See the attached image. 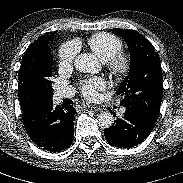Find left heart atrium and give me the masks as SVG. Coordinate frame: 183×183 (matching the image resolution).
Wrapping results in <instances>:
<instances>
[{
	"label": "left heart atrium",
	"mask_w": 183,
	"mask_h": 183,
	"mask_svg": "<svg viewBox=\"0 0 183 183\" xmlns=\"http://www.w3.org/2000/svg\"><path fill=\"white\" fill-rule=\"evenodd\" d=\"M104 88L105 82L102 78L99 77L85 79L80 83L81 93L88 100L95 99L97 97L98 91Z\"/></svg>",
	"instance_id": "39dd6f15"
}]
</instances>
